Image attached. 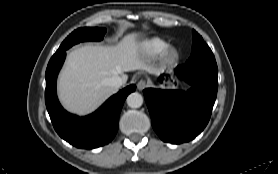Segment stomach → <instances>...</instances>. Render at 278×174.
Wrapping results in <instances>:
<instances>
[{
    "label": "stomach",
    "mask_w": 278,
    "mask_h": 174,
    "mask_svg": "<svg viewBox=\"0 0 278 174\" xmlns=\"http://www.w3.org/2000/svg\"><path fill=\"white\" fill-rule=\"evenodd\" d=\"M165 84L167 85L168 88H175L176 87L175 81L167 80L165 82Z\"/></svg>",
    "instance_id": "1"
}]
</instances>
